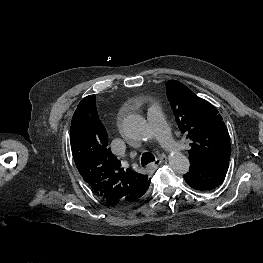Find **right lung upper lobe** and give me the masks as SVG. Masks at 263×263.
<instances>
[{
	"mask_svg": "<svg viewBox=\"0 0 263 263\" xmlns=\"http://www.w3.org/2000/svg\"><path fill=\"white\" fill-rule=\"evenodd\" d=\"M70 142L80 175L109 206L129 205L150 185L147 175L124 171L120 160L112 154L107 132L97 114L95 95L85 97L77 106L71 121Z\"/></svg>",
	"mask_w": 263,
	"mask_h": 263,
	"instance_id": "cb5924a9",
	"label": "right lung upper lobe"
}]
</instances>
